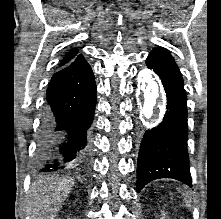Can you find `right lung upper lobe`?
Returning a JSON list of instances; mask_svg holds the SVG:
<instances>
[{"label": "right lung upper lobe", "mask_w": 221, "mask_h": 219, "mask_svg": "<svg viewBox=\"0 0 221 219\" xmlns=\"http://www.w3.org/2000/svg\"><path fill=\"white\" fill-rule=\"evenodd\" d=\"M81 54H77V50H72L70 51L65 58L61 61L60 66L61 67H65L68 64H70L72 61H74L78 56H80Z\"/></svg>", "instance_id": "obj_1"}]
</instances>
